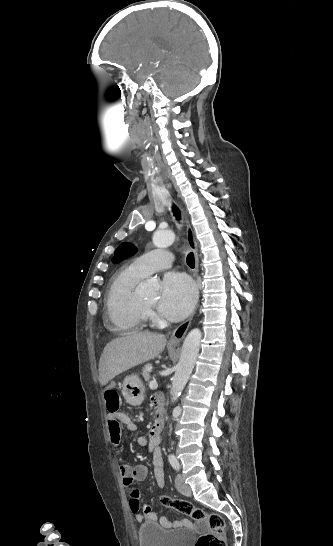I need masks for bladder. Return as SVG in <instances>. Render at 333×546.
I'll return each mask as SVG.
<instances>
[{
    "mask_svg": "<svg viewBox=\"0 0 333 546\" xmlns=\"http://www.w3.org/2000/svg\"><path fill=\"white\" fill-rule=\"evenodd\" d=\"M193 540L191 530H166L152 521H144L138 529L140 546H192Z\"/></svg>",
    "mask_w": 333,
    "mask_h": 546,
    "instance_id": "bladder-1",
    "label": "bladder"
}]
</instances>
